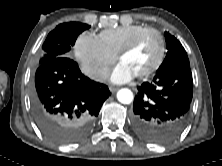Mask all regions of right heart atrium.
Segmentation results:
<instances>
[{"label": "right heart atrium", "instance_id": "obj_1", "mask_svg": "<svg viewBox=\"0 0 222 166\" xmlns=\"http://www.w3.org/2000/svg\"><path fill=\"white\" fill-rule=\"evenodd\" d=\"M74 54L85 75L95 81H102L115 56L108 52L99 38L91 33L78 36L74 46Z\"/></svg>", "mask_w": 222, "mask_h": 166}]
</instances>
